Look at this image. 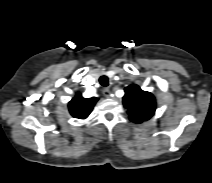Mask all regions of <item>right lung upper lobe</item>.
Returning a JSON list of instances; mask_svg holds the SVG:
<instances>
[{
	"instance_id": "obj_1",
	"label": "right lung upper lobe",
	"mask_w": 212,
	"mask_h": 183,
	"mask_svg": "<svg viewBox=\"0 0 212 183\" xmlns=\"http://www.w3.org/2000/svg\"><path fill=\"white\" fill-rule=\"evenodd\" d=\"M97 100L98 98H83L81 93H77L68 104L69 111L73 117L85 119L91 113Z\"/></svg>"
}]
</instances>
